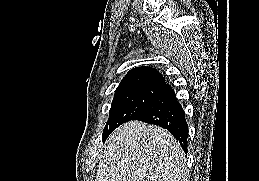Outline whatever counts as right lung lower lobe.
<instances>
[{
	"label": "right lung lower lobe",
	"mask_w": 259,
	"mask_h": 181,
	"mask_svg": "<svg viewBox=\"0 0 259 181\" xmlns=\"http://www.w3.org/2000/svg\"><path fill=\"white\" fill-rule=\"evenodd\" d=\"M154 124L168 130L187 154L188 125L182 106L176 99L171 86L164 82L155 97L133 119ZM107 137H103L105 141Z\"/></svg>",
	"instance_id": "right-lung-lower-lobe-1"
}]
</instances>
